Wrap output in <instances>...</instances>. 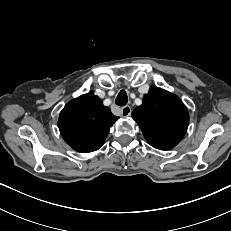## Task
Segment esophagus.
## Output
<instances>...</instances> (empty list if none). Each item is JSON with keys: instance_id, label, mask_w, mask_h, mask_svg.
Returning <instances> with one entry per match:
<instances>
[{"instance_id": "esophagus-1", "label": "esophagus", "mask_w": 231, "mask_h": 231, "mask_svg": "<svg viewBox=\"0 0 231 231\" xmlns=\"http://www.w3.org/2000/svg\"><path fill=\"white\" fill-rule=\"evenodd\" d=\"M131 114V107L126 105L121 108V116L122 117H128Z\"/></svg>"}]
</instances>
